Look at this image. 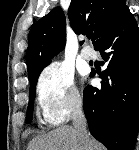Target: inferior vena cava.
Returning a JSON list of instances; mask_svg holds the SVG:
<instances>
[{
    "label": "inferior vena cava",
    "mask_w": 139,
    "mask_h": 150,
    "mask_svg": "<svg viewBox=\"0 0 139 150\" xmlns=\"http://www.w3.org/2000/svg\"><path fill=\"white\" fill-rule=\"evenodd\" d=\"M73 128L80 142H82V144H85L87 140L86 119L81 109V102L77 103L76 109L74 111Z\"/></svg>",
    "instance_id": "obj_1"
}]
</instances>
